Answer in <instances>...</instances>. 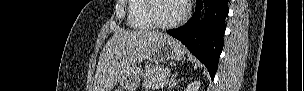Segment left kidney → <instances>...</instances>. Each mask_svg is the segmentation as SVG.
Segmentation results:
<instances>
[{"label":"left kidney","mask_w":304,"mask_h":91,"mask_svg":"<svg viewBox=\"0 0 304 91\" xmlns=\"http://www.w3.org/2000/svg\"><path fill=\"white\" fill-rule=\"evenodd\" d=\"M200 87V81H195L189 84L185 91H198Z\"/></svg>","instance_id":"left-kidney-1"}]
</instances>
